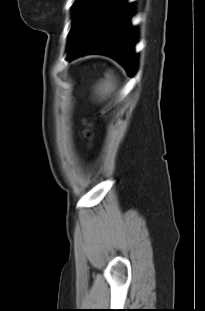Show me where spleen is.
Listing matches in <instances>:
<instances>
[{"label":"spleen","mask_w":205,"mask_h":311,"mask_svg":"<svg viewBox=\"0 0 205 311\" xmlns=\"http://www.w3.org/2000/svg\"><path fill=\"white\" fill-rule=\"evenodd\" d=\"M107 80L104 81L101 85H99V89L102 94H108L112 91L113 85L110 80L109 74H106Z\"/></svg>","instance_id":"obj_1"}]
</instances>
